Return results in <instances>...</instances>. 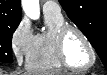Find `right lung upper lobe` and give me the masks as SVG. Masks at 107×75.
Returning a JSON list of instances; mask_svg holds the SVG:
<instances>
[{
    "label": "right lung upper lobe",
    "mask_w": 107,
    "mask_h": 75,
    "mask_svg": "<svg viewBox=\"0 0 107 75\" xmlns=\"http://www.w3.org/2000/svg\"><path fill=\"white\" fill-rule=\"evenodd\" d=\"M20 21V0H0V26L20 23Z\"/></svg>",
    "instance_id": "right-lung-upper-lobe-1"
}]
</instances>
